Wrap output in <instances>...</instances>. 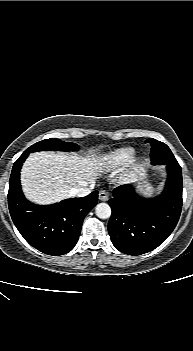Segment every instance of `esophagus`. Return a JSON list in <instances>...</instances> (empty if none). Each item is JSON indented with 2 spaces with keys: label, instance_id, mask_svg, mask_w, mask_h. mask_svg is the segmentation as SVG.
<instances>
[{
  "label": "esophagus",
  "instance_id": "1",
  "mask_svg": "<svg viewBox=\"0 0 193 351\" xmlns=\"http://www.w3.org/2000/svg\"><path fill=\"white\" fill-rule=\"evenodd\" d=\"M109 199V193L105 190L99 192V200L107 201Z\"/></svg>",
  "mask_w": 193,
  "mask_h": 351
}]
</instances>
